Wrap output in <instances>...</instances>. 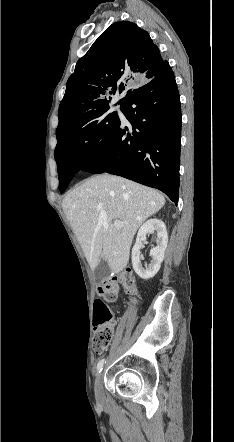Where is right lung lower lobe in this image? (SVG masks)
Listing matches in <instances>:
<instances>
[{"label": "right lung lower lobe", "mask_w": 234, "mask_h": 442, "mask_svg": "<svg viewBox=\"0 0 234 442\" xmlns=\"http://www.w3.org/2000/svg\"><path fill=\"white\" fill-rule=\"evenodd\" d=\"M121 110L132 128L123 127L119 120L107 141L81 169L108 172L159 189L177 203L182 116L169 64L139 87Z\"/></svg>", "instance_id": "98d812e1"}]
</instances>
